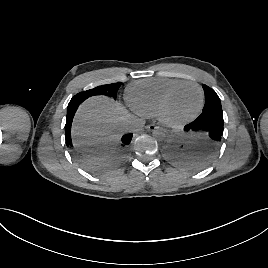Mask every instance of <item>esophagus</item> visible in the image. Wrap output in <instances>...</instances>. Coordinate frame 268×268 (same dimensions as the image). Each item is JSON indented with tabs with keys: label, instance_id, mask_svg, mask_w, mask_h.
Listing matches in <instances>:
<instances>
[{
	"label": "esophagus",
	"instance_id": "34e87169",
	"mask_svg": "<svg viewBox=\"0 0 268 268\" xmlns=\"http://www.w3.org/2000/svg\"><path fill=\"white\" fill-rule=\"evenodd\" d=\"M145 128L148 131H155V130L159 129V126H156L154 124H150V125H147Z\"/></svg>",
	"mask_w": 268,
	"mask_h": 268
}]
</instances>
